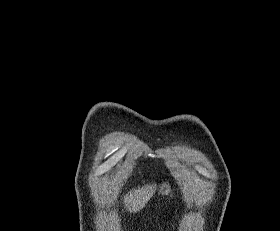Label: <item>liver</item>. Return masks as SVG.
<instances>
[{
  "label": "liver",
  "instance_id": "obj_1",
  "mask_svg": "<svg viewBox=\"0 0 280 231\" xmlns=\"http://www.w3.org/2000/svg\"><path fill=\"white\" fill-rule=\"evenodd\" d=\"M155 185H143L138 189H132L129 193L124 195V203L128 211H140L143 209L145 203L152 197Z\"/></svg>",
  "mask_w": 280,
  "mask_h": 231
}]
</instances>
